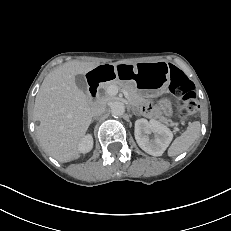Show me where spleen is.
I'll return each instance as SVG.
<instances>
[{
    "label": "spleen",
    "mask_w": 231,
    "mask_h": 231,
    "mask_svg": "<svg viewBox=\"0 0 231 231\" xmlns=\"http://www.w3.org/2000/svg\"><path fill=\"white\" fill-rule=\"evenodd\" d=\"M200 122L195 121L191 123L186 131L179 137H177L168 149V155L173 157L186 151L199 137Z\"/></svg>",
    "instance_id": "spleen-1"
}]
</instances>
